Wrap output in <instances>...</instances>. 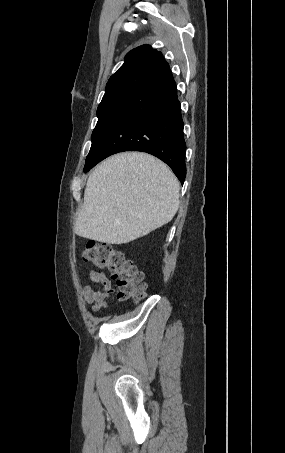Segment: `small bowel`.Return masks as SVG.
<instances>
[{"mask_svg":"<svg viewBox=\"0 0 285 453\" xmlns=\"http://www.w3.org/2000/svg\"><path fill=\"white\" fill-rule=\"evenodd\" d=\"M88 277L98 287L93 289L91 286L85 285L83 287V296L87 303L92 304L93 312H98L105 308L108 303L112 289L111 281L103 272L96 270H90Z\"/></svg>","mask_w":285,"mask_h":453,"instance_id":"obj_1","label":"small bowel"}]
</instances>
